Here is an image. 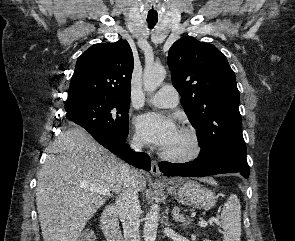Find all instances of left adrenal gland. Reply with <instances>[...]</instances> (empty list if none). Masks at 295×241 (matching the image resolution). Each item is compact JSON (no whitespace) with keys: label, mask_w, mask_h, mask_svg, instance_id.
Instances as JSON below:
<instances>
[{"label":"left adrenal gland","mask_w":295,"mask_h":241,"mask_svg":"<svg viewBox=\"0 0 295 241\" xmlns=\"http://www.w3.org/2000/svg\"><path fill=\"white\" fill-rule=\"evenodd\" d=\"M172 218L175 222H180L183 228H185L191 221L189 217L180 213V208L178 206L173 208Z\"/></svg>","instance_id":"1"}]
</instances>
